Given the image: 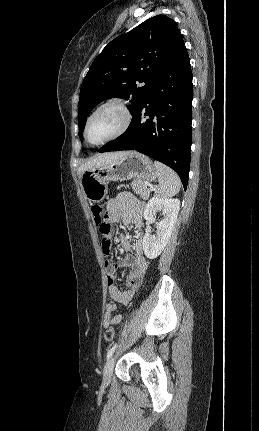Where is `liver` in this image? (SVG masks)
Returning a JSON list of instances; mask_svg holds the SVG:
<instances>
[{"label":"liver","mask_w":259,"mask_h":431,"mask_svg":"<svg viewBox=\"0 0 259 431\" xmlns=\"http://www.w3.org/2000/svg\"><path fill=\"white\" fill-rule=\"evenodd\" d=\"M127 152H111L98 154L91 159L85 161L78 169L79 176L86 170H92L101 166L107 165L118 160L120 157L125 155Z\"/></svg>","instance_id":"1"}]
</instances>
